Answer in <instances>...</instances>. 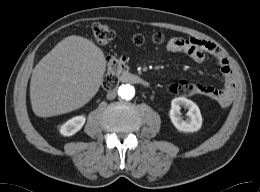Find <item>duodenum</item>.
I'll use <instances>...</instances> for the list:
<instances>
[{"label":"duodenum","mask_w":260,"mask_h":192,"mask_svg":"<svg viewBox=\"0 0 260 192\" xmlns=\"http://www.w3.org/2000/svg\"><path fill=\"white\" fill-rule=\"evenodd\" d=\"M117 80L122 83H129L135 85L149 86V83L140 75L130 73L126 70L119 71Z\"/></svg>","instance_id":"410a0bca"}]
</instances>
